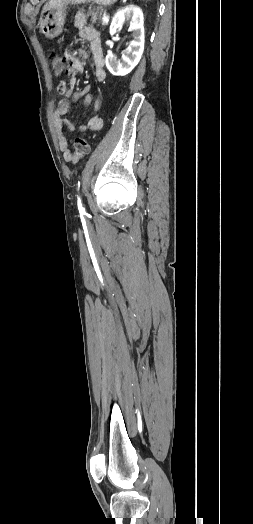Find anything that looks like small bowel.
Segmentation results:
<instances>
[{
    "label": "small bowel",
    "mask_w": 253,
    "mask_h": 524,
    "mask_svg": "<svg viewBox=\"0 0 253 524\" xmlns=\"http://www.w3.org/2000/svg\"><path fill=\"white\" fill-rule=\"evenodd\" d=\"M75 26L79 29V36L89 42L90 53L80 49L78 51L79 58H77L72 55L70 50H67L65 52V62L67 64L64 68L65 73L71 78H74L77 74L84 71V66L80 58L83 60H88L90 58L93 64V73L95 79L100 82L104 81L106 78V71L104 67L100 32L95 28L87 26L86 20L83 17H80L75 21ZM57 90L61 95H63V98L58 101L54 121L59 147L64 153V158L67 160L69 143L64 130H75V124L73 123L72 119L65 117L70 109V103L68 99L71 98L73 101H81L82 106L85 108L92 104L95 111H98L101 108V100L97 97L94 98L89 95V87H86L82 91L77 92L72 88H68L64 82H61L58 85ZM102 125V119L97 116H93L88 120L87 124L80 125L79 129L81 131L87 129L98 131L102 128Z\"/></svg>",
    "instance_id": "c3829d8e"
}]
</instances>
